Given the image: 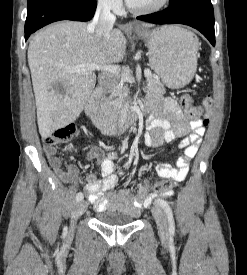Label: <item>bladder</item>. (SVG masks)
I'll use <instances>...</instances> for the list:
<instances>
[{
    "mask_svg": "<svg viewBox=\"0 0 247 275\" xmlns=\"http://www.w3.org/2000/svg\"><path fill=\"white\" fill-rule=\"evenodd\" d=\"M97 221L107 226H125L136 221L135 215L116 209L97 211Z\"/></svg>",
    "mask_w": 247,
    "mask_h": 275,
    "instance_id": "1",
    "label": "bladder"
}]
</instances>
